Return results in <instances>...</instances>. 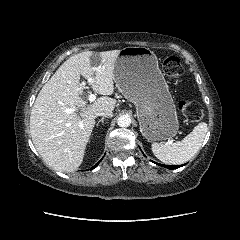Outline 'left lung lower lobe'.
Listing matches in <instances>:
<instances>
[{
  "label": "left lung lower lobe",
  "instance_id": "left-lung-lower-lobe-1",
  "mask_svg": "<svg viewBox=\"0 0 240 240\" xmlns=\"http://www.w3.org/2000/svg\"><path fill=\"white\" fill-rule=\"evenodd\" d=\"M156 164H157V163H156ZM162 166H164V167H166V168H169V169H176V168L180 167V165H178V166H167V165H162Z\"/></svg>",
  "mask_w": 240,
  "mask_h": 240
}]
</instances>
